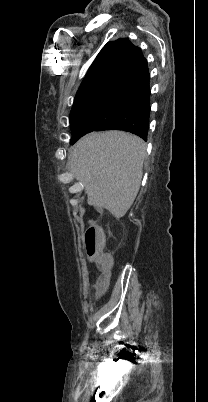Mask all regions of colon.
I'll return each mask as SVG.
<instances>
[{
  "label": "colon",
  "mask_w": 208,
  "mask_h": 402,
  "mask_svg": "<svg viewBox=\"0 0 208 402\" xmlns=\"http://www.w3.org/2000/svg\"><path fill=\"white\" fill-rule=\"evenodd\" d=\"M86 239L88 242L84 250L85 255L88 256L92 265H98L101 277H108L114 264V257L110 256L109 250H102L106 243L104 232H96L95 228L91 227L86 234ZM95 288L100 295H109L111 292L110 287L104 281L97 282Z\"/></svg>",
  "instance_id": "obj_1"
}]
</instances>
